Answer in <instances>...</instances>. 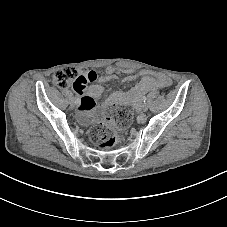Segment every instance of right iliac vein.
I'll list each match as a JSON object with an SVG mask.
<instances>
[{
    "mask_svg": "<svg viewBox=\"0 0 227 227\" xmlns=\"http://www.w3.org/2000/svg\"><path fill=\"white\" fill-rule=\"evenodd\" d=\"M70 104H71V107H73V108H74L76 105H78V104L76 103V101H74V100H72Z\"/></svg>",
    "mask_w": 227,
    "mask_h": 227,
    "instance_id": "right-iliac-vein-1",
    "label": "right iliac vein"
}]
</instances>
